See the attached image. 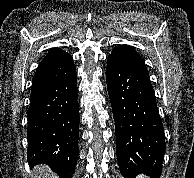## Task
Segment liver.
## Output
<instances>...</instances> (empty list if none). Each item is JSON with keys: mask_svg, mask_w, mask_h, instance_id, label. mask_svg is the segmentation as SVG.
Segmentation results:
<instances>
[{"mask_svg": "<svg viewBox=\"0 0 194 178\" xmlns=\"http://www.w3.org/2000/svg\"><path fill=\"white\" fill-rule=\"evenodd\" d=\"M34 171L35 178H52L51 170L46 166H38Z\"/></svg>", "mask_w": 194, "mask_h": 178, "instance_id": "liver-1", "label": "liver"}]
</instances>
